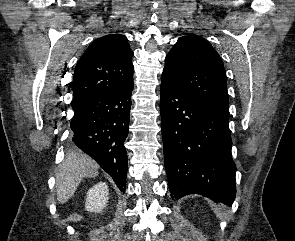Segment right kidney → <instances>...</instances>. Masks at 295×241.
I'll list each match as a JSON object with an SVG mask.
<instances>
[{"instance_id": "ca27d5eb", "label": "right kidney", "mask_w": 295, "mask_h": 241, "mask_svg": "<svg viewBox=\"0 0 295 241\" xmlns=\"http://www.w3.org/2000/svg\"><path fill=\"white\" fill-rule=\"evenodd\" d=\"M109 190L105 182L94 185L87 193L85 209L88 212L100 213L107 205Z\"/></svg>"}]
</instances>
